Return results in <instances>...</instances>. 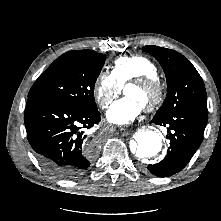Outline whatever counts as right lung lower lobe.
<instances>
[{
	"mask_svg": "<svg viewBox=\"0 0 221 221\" xmlns=\"http://www.w3.org/2000/svg\"><path fill=\"white\" fill-rule=\"evenodd\" d=\"M100 121V112L84 111L42 97H29L24 122L40 164L61 179H74L90 166L95 146L84 142L83 128Z\"/></svg>",
	"mask_w": 221,
	"mask_h": 221,
	"instance_id": "obj_1",
	"label": "right lung lower lobe"
}]
</instances>
